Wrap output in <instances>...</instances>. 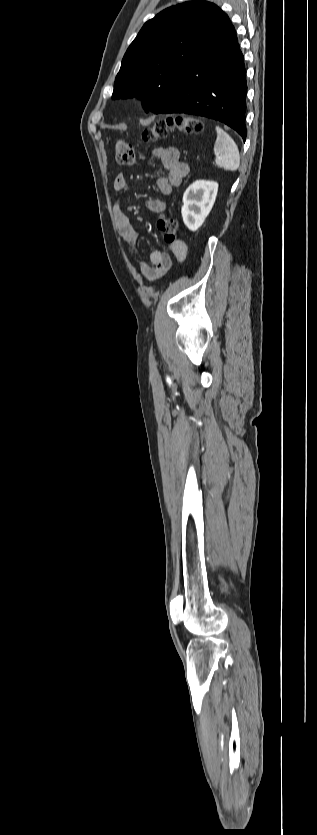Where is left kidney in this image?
Returning <instances> with one entry per match:
<instances>
[{
	"instance_id": "5707ae66",
	"label": "left kidney",
	"mask_w": 317,
	"mask_h": 835,
	"mask_svg": "<svg viewBox=\"0 0 317 835\" xmlns=\"http://www.w3.org/2000/svg\"><path fill=\"white\" fill-rule=\"evenodd\" d=\"M218 183L197 180L184 192L181 209L184 224L191 231L202 226L209 215L217 196Z\"/></svg>"
}]
</instances>
